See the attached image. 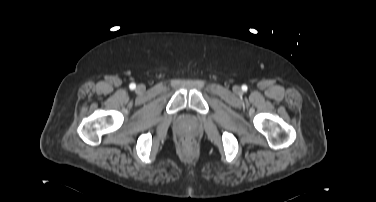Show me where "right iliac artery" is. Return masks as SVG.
<instances>
[{"label": "right iliac artery", "mask_w": 376, "mask_h": 202, "mask_svg": "<svg viewBox=\"0 0 376 202\" xmlns=\"http://www.w3.org/2000/svg\"><path fill=\"white\" fill-rule=\"evenodd\" d=\"M129 87H130V89L134 90V89L136 88V85H135L134 83H131V84L129 85Z\"/></svg>", "instance_id": "82829eb1"}]
</instances>
